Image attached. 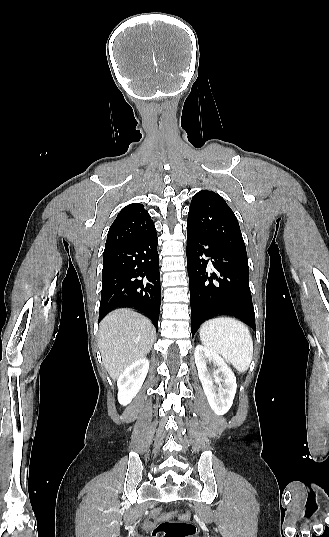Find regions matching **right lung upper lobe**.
Returning a JSON list of instances; mask_svg holds the SVG:
<instances>
[{
    "mask_svg": "<svg viewBox=\"0 0 329 537\" xmlns=\"http://www.w3.org/2000/svg\"><path fill=\"white\" fill-rule=\"evenodd\" d=\"M155 226L142 204L124 207L111 225L105 248L123 245L150 233Z\"/></svg>",
    "mask_w": 329,
    "mask_h": 537,
    "instance_id": "right-lung-upper-lobe-1",
    "label": "right lung upper lobe"
}]
</instances>
